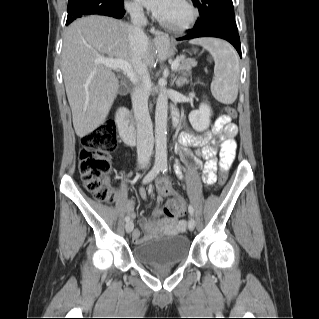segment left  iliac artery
I'll list each match as a JSON object with an SVG mask.
<instances>
[{
  "instance_id": "left-iliac-artery-1",
  "label": "left iliac artery",
  "mask_w": 319,
  "mask_h": 319,
  "mask_svg": "<svg viewBox=\"0 0 319 319\" xmlns=\"http://www.w3.org/2000/svg\"><path fill=\"white\" fill-rule=\"evenodd\" d=\"M168 170L167 164L164 162L161 164V171L163 173H166ZM188 212L190 213V215L192 216L194 214V208L192 207V205L188 206Z\"/></svg>"
}]
</instances>
